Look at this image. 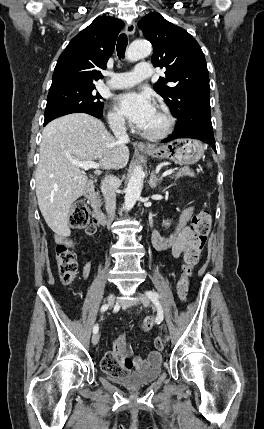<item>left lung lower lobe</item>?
<instances>
[{
  "label": "left lung lower lobe",
  "mask_w": 264,
  "mask_h": 429,
  "mask_svg": "<svg viewBox=\"0 0 264 429\" xmlns=\"http://www.w3.org/2000/svg\"><path fill=\"white\" fill-rule=\"evenodd\" d=\"M178 138L199 139L208 143L216 152L210 109L197 110L187 122L176 124L175 133L162 142H169Z\"/></svg>",
  "instance_id": "left-lung-lower-lobe-1"
}]
</instances>
